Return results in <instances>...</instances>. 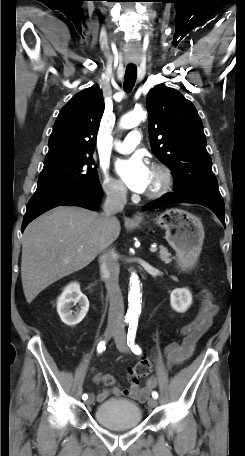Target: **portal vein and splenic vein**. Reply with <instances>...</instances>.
<instances>
[{
    "label": "portal vein and splenic vein",
    "instance_id": "portal-vein-and-splenic-vein-1",
    "mask_svg": "<svg viewBox=\"0 0 245 456\" xmlns=\"http://www.w3.org/2000/svg\"><path fill=\"white\" fill-rule=\"evenodd\" d=\"M156 251H157V248H156V247H151V248H150V252L155 253Z\"/></svg>",
    "mask_w": 245,
    "mask_h": 456
}]
</instances>
